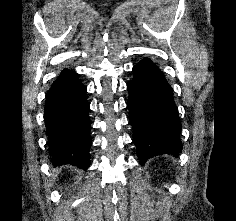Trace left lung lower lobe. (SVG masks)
I'll use <instances>...</instances> for the list:
<instances>
[{"label":"left lung lower lobe","instance_id":"left-lung-lower-lobe-1","mask_svg":"<svg viewBox=\"0 0 236 221\" xmlns=\"http://www.w3.org/2000/svg\"><path fill=\"white\" fill-rule=\"evenodd\" d=\"M128 83V107L133 141L141 164L162 154L177 156L182 151L181 123L173 90L163 73L148 58L133 67Z\"/></svg>","mask_w":236,"mask_h":221}]
</instances>
